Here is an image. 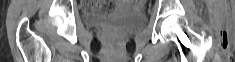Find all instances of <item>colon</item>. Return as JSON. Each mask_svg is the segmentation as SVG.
<instances>
[{"mask_svg":"<svg viewBox=\"0 0 235 62\" xmlns=\"http://www.w3.org/2000/svg\"><path fill=\"white\" fill-rule=\"evenodd\" d=\"M106 4H107V3H106ZM107 5H108V4H107ZM89 8H90L91 10H94V9H93L92 7H90V6H89ZM102 10H103L102 8H99V7H98L96 11H102Z\"/></svg>","mask_w":235,"mask_h":62,"instance_id":"5ec220e1","label":"colon"}]
</instances>
